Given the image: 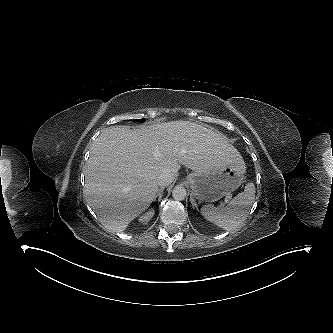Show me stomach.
Here are the masks:
<instances>
[{"instance_id": "1", "label": "stomach", "mask_w": 333, "mask_h": 333, "mask_svg": "<svg viewBox=\"0 0 333 333\" xmlns=\"http://www.w3.org/2000/svg\"><path fill=\"white\" fill-rule=\"evenodd\" d=\"M245 163L242 158L221 167L194 171L187 176L193 195L199 201L214 202L236 190L242 183Z\"/></svg>"}]
</instances>
